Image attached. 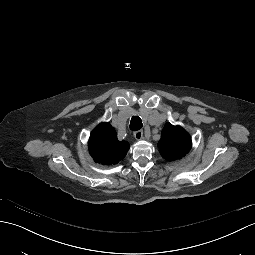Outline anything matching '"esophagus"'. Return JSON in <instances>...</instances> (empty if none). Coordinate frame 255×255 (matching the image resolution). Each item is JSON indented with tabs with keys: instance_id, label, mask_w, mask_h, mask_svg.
<instances>
[{
	"instance_id": "34e87169",
	"label": "esophagus",
	"mask_w": 255,
	"mask_h": 255,
	"mask_svg": "<svg viewBox=\"0 0 255 255\" xmlns=\"http://www.w3.org/2000/svg\"><path fill=\"white\" fill-rule=\"evenodd\" d=\"M142 135H143L142 130H138V131H135V132H134V137H135V139L138 140V141L142 139Z\"/></svg>"
}]
</instances>
